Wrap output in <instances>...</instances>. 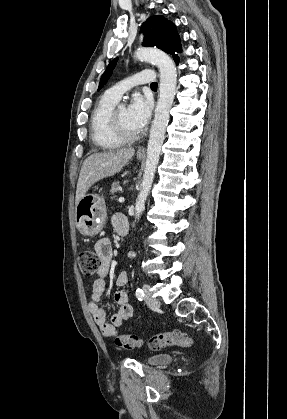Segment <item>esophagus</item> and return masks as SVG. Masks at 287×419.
Returning <instances> with one entry per match:
<instances>
[{"instance_id":"esophagus-1","label":"esophagus","mask_w":287,"mask_h":419,"mask_svg":"<svg viewBox=\"0 0 287 419\" xmlns=\"http://www.w3.org/2000/svg\"><path fill=\"white\" fill-rule=\"evenodd\" d=\"M137 153H138V154H145V149H144V148H140V149L137 151Z\"/></svg>"}]
</instances>
